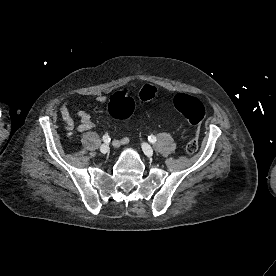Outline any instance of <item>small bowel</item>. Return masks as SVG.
Returning <instances> with one entry per match:
<instances>
[{"mask_svg": "<svg viewBox=\"0 0 276 276\" xmlns=\"http://www.w3.org/2000/svg\"><path fill=\"white\" fill-rule=\"evenodd\" d=\"M91 101L96 103H105L106 97L96 96V97H93ZM71 111H74L80 118V124L77 127V130L79 132H85L94 127V122L92 120V117L87 111L81 108L71 107L70 104L66 102L61 106L60 112L67 130H72L74 128V121L71 116ZM128 142H129V138L127 136H124L114 140L113 144L115 147H121L127 144Z\"/></svg>", "mask_w": 276, "mask_h": 276, "instance_id": "1", "label": "small bowel"}]
</instances>
